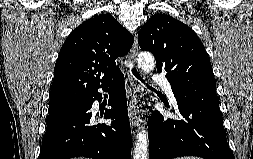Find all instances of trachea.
<instances>
[{"mask_svg": "<svg viewBox=\"0 0 253 159\" xmlns=\"http://www.w3.org/2000/svg\"><path fill=\"white\" fill-rule=\"evenodd\" d=\"M132 73L133 75L138 79L140 80L141 82L144 83V80L141 78V76L139 75V73L137 72V70L135 68H132Z\"/></svg>", "mask_w": 253, "mask_h": 159, "instance_id": "1", "label": "trachea"}]
</instances>
